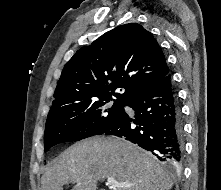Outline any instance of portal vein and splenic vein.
Instances as JSON below:
<instances>
[{
    "mask_svg": "<svg viewBox=\"0 0 221 190\" xmlns=\"http://www.w3.org/2000/svg\"><path fill=\"white\" fill-rule=\"evenodd\" d=\"M106 185L110 187H129L131 184L127 183H118L114 178H107Z\"/></svg>",
    "mask_w": 221,
    "mask_h": 190,
    "instance_id": "1",
    "label": "portal vein and splenic vein"
}]
</instances>
